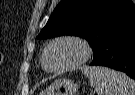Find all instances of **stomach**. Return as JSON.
Instances as JSON below:
<instances>
[{
  "instance_id": "0dacf381",
  "label": "stomach",
  "mask_w": 135,
  "mask_h": 95,
  "mask_svg": "<svg viewBox=\"0 0 135 95\" xmlns=\"http://www.w3.org/2000/svg\"><path fill=\"white\" fill-rule=\"evenodd\" d=\"M79 85L73 80L60 78L56 79L39 95H75Z\"/></svg>"
}]
</instances>
